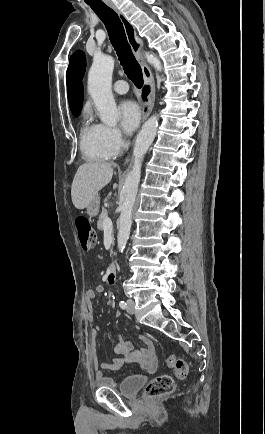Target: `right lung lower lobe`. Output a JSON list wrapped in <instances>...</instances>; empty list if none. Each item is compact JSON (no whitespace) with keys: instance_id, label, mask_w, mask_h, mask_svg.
Listing matches in <instances>:
<instances>
[{"instance_id":"right-lung-lower-lobe-1","label":"right lung lower lobe","mask_w":265,"mask_h":434,"mask_svg":"<svg viewBox=\"0 0 265 434\" xmlns=\"http://www.w3.org/2000/svg\"><path fill=\"white\" fill-rule=\"evenodd\" d=\"M149 94V89L146 87L143 91V96H147Z\"/></svg>"}]
</instances>
